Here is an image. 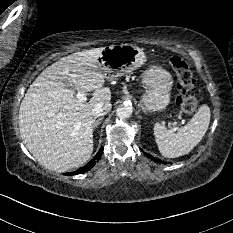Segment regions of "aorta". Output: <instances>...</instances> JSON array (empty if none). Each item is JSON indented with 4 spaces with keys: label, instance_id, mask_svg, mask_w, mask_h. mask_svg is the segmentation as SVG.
<instances>
[{
    "label": "aorta",
    "instance_id": "1",
    "mask_svg": "<svg viewBox=\"0 0 233 233\" xmlns=\"http://www.w3.org/2000/svg\"><path fill=\"white\" fill-rule=\"evenodd\" d=\"M133 109L129 104H121L116 109V115L120 119L129 118L132 115Z\"/></svg>",
    "mask_w": 233,
    "mask_h": 233
}]
</instances>
